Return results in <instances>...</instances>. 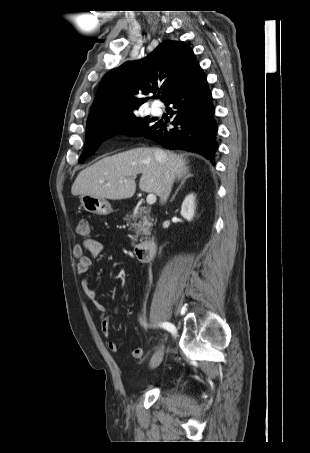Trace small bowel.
I'll list each match as a JSON object with an SVG mask.
<instances>
[{
  "label": "small bowel",
  "instance_id": "c3829d8e",
  "mask_svg": "<svg viewBox=\"0 0 310 453\" xmlns=\"http://www.w3.org/2000/svg\"><path fill=\"white\" fill-rule=\"evenodd\" d=\"M102 249L103 245L101 242L93 238H86L82 244L74 245L72 252L78 261L77 273L84 276L81 281L82 291L86 297L93 302L95 309L100 314L101 331L104 336L108 337L110 333V316L106 314L105 306L97 300L95 289L90 286L88 279L85 277L92 266V258L97 257L102 252ZM85 251H88L90 256L85 255ZM118 311V308L115 307L114 313H118ZM107 347L112 353L116 354L119 352V347L114 341H108ZM132 355L136 359H141L143 356V349L140 347L135 348Z\"/></svg>",
  "mask_w": 310,
  "mask_h": 453
}]
</instances>
